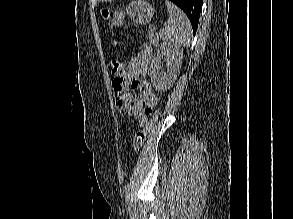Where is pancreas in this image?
Masks as SVG:
<instances>
[{
	"label": "pancreas",
	"instance_id": "cf45deb5",
	"mask_svg": "<svg viewBox=\"0 0 293 219\" xmlns=\"http://www.w3.org/2000/svg\"><path fill=\"white\" fill-rule=\"evenodd\" d=\"M148 38H149V41H150V43L152 45L158 46V44H159V36L155 32V30L150 29V31L148 32Z\"/></svg>",
	"mask_w": 293,
	"mask_h": 219
}]
</instances>
